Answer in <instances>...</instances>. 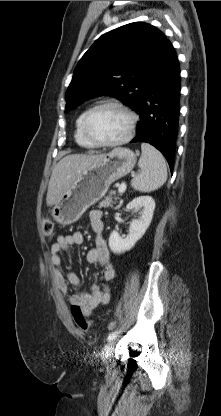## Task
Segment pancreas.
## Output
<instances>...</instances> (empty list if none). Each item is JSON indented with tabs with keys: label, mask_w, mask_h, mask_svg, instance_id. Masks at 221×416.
<instances>
[{
	"label": "pancreas",
	"mask_w": 221,
	"mask_h": 416,
	"mask_svg": "<svg viewBox=\"0 0 221 416\" xmlns=\"http://www.w3.org/2000/svg\"><path fill=\"white\" fill-rule=\"evenodd\" d=\"M115 195V192L113 191V192H110V194L108 195V196H106L105 197V199H103L100 203H99V208H102V207H104V208H108V207H113V204L115 203L114 201H113V199L114 200H117V199H119L118 197H114L113 198V196Z\"/></svg>",
	"instance_id": "pancreas-1"
}]
</instances>
